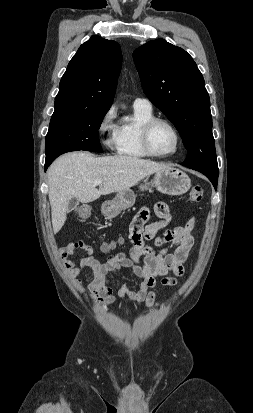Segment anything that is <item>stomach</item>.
Returning <instances> with one entry per match:
<instances>
[{"mask_svg": "<svg viewBox=\"0 0 253 413\" xmlns=\"http://www.w3.org/2000/svg\"><path fill=\"white\" fill-rule=\"evenodd\" d=\"M151 184L159 192L170 196H180L185 194L191 187L189 176L176 168L168 167L156 172L153 180L149 183L148 178L140 185V189L147 190ZM136 196L131 189L118 192L113 200L106 201L102 204L101 211L108 218H114L123 210L132 207L135 203Z\"/></svg>", "mask_w": 253, "mask_h": 413, "instance_id": "stomach-1", "label": "stomach"}]
</instances>
